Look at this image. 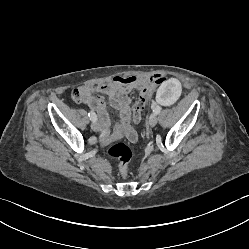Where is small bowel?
<instances>
[{
    "mask_svg": "<svg viewBox=\"0 0 249 249\" xmlns=\"http://www.w3.org/2000/svg\"><path fill=\"white\" fill-rule=\"evenodd\" d=\"M162 75L154 76H116L110 82L100 84L98 86H82L78 90L82 95V102L95 111L100 119V128L103 132L104 141H111L127 135L130 141L136 140L134 130L130 126V92L132 89L139 90L141 96H145L147 100H151L156 85H160ZM163 79H167L162 76ZM160 83V84H159ZM106 95L112 108L119 113V122L114 132L109 133V118L106 111L105 101L102 96Z\"/></svg>",
    "mask_w": 249,
    "mask_h": 249,
    "instance_id": "c3829d8e",
    "label": "small bowel"
}]
</instances>
